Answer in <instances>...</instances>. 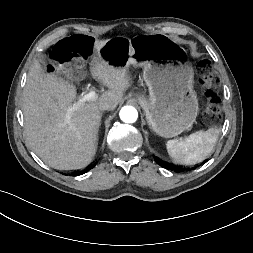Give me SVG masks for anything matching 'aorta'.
<instances>
[{
    "label": "aorta",
    "instance_id": "762f6f07",
    "mask_svg": "<svg viewBox=\"0 0 253 253\" xmlns=\"http://www.w3.org/2000/svg\"><path fill=\"white\" fill-rule=\"evenodd\" d=\"M119 116L125 123H134L138 118V112L133 106H124L120 110Z\"/></svg>",
    "mask_w": 253,
    "mask_h": 253
}]
</instances>
